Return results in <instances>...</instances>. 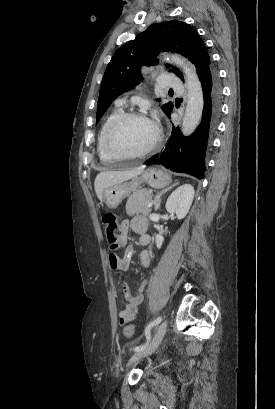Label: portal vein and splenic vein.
<instances>
[{
  "label": "portal vein and splenic vein",
  "mask_w": 275,
  "mask_h": 409,
  "mask_svg": "<svg viewBox=\"0 0 275 409\" xmlns=\"http://www.w3.org/2000/svg\"><path fill=\"white\" fill-rule=\"evenodd\" d=\"M147 207H152V202H148Z\"/></svg>",
  "instance_id": "1"
}]
</instances>
